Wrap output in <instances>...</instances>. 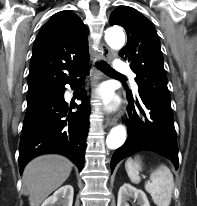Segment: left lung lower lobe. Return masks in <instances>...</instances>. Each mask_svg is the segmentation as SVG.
Masks as SVG:
<instances>
[{"label": "left lung lower lobe", "instance_id": "1", "mask_svg": "<svg viewBox=\"0 0 197 206\" xmlns=\"http://www.w3.org/2000/svg\"><path fill=\"white\" fill-rule=\"evenodd\" d=\"M127 99L133 109V113L128 110V138L113 154L111 172L120 160L140 150L157 152L178 168V146L170 102L143 92L137 97L127 92ZM134 102L139 114L134 110Z\"/></svg>", "mask_w": 197, "mask_h": 206}]
</instances>
